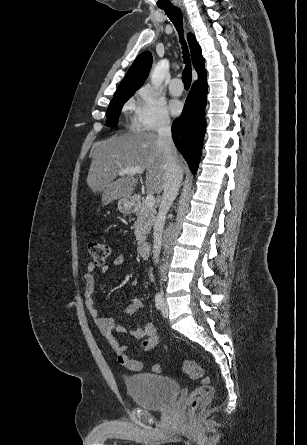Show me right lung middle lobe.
I'll list each match as a JSON object with an SVG mask.
<instances>
[{
  "label": "right lung middle lobe",
  "mask_w": 307,
  "mask_h": 445,
  "mask_svg": "<svg viewBox=\"0 0 307 445\" xmlns=\"http://www.w3.org/2000/svg\"><path fill=\"white\" fill-rule=\"evenodd\" d=\"M129 99L124 98L109 104L107 109L106 117H107V126L115 127L118 123V115L121 111L123 104Z\"/></svg>",
  "instance_id": "right-lung-middle-lobe-1"
}]
</instances>
